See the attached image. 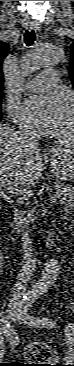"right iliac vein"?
<instances>
[{"mask_svg":"<svg viewBox=\"0 0 74 366\" xmlns=\"http://www.w3.org/2000/svg\"><path fill=\"white\" fill-rule=\"evenodd\" d=\"M10 313L14 318H18V314L15 311H10Z\"/></svg>","mask_w":74,"mask_h":366,"instance_id":"right-iliac-vein-1","label":"right iliac vein"}]
</instances>
